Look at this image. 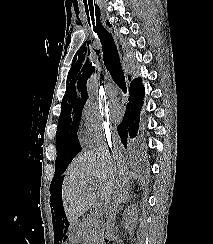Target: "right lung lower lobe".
<instances>
[{
    "instance_id": "1",
    "label": "right lung lower lobe",
    "mask_w": 213,
    "mask_h": 244,
    "mask_svg": "<svg viewBox=\"0 0 213 244\" xmlns=\"http://www.w3.org/2000/svg\"><path fill=\"white\" fill-rule=\"evenodd\" d=\"M129 103L122 123L117 127L119 136L125 148L136 149L132 141L139 128L140 111L143 105L144 86L141 78L134 79L130 84Z\"/></svg>"
}]
</instances>
